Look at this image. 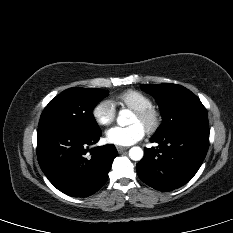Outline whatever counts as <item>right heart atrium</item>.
Masks as SVG:
<instances>
[{"instance_id": "obj_1", "label": "right heart atrium", "mask_w": 233, "mask_h": 233, "mask_svg": "<svg viewBox=\"0 0 233 233\" xmlns=\"http://www.w3.org/2000/svg\"><path fill=\"white\" fill-rule=\"evenodd\" d=\"M92 116L97 124L108 126L116 118V109L113 102L109 99L100 100L92 109Z\"/></svg>"}]
</instances>
